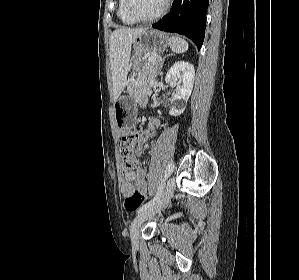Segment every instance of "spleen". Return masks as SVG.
<instances>
[{
  "mask_svg": "<svg viewBox=\"0 0 299 280\" xmlns=\"http://www.w3.org/2000/svg\"><path fill=\"white\" fill-rule=\"evenodd\" d=\"M169 45L171 47V50L174 53H178V54L186 52L189 48L187 41H185L181 37H175V36L170 37Z\"/></svg>",
  "mask_w": 299,
  "mask_h": 280,
  "instance_id": "spleen-1",
  "label": "spleen"
}]
</instances>
